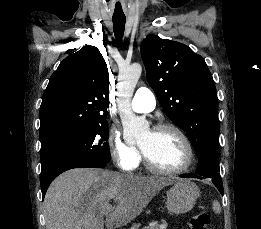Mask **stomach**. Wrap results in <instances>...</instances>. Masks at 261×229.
Returning a JSON list of instances; mask_svg holds the SVG:
<instances>
[{"mask_svg":"<svg viewBox=\"0 0 261 229\" xmlns=\"http://www.w3.org/2000/svg\"><path fill=\"white\" fill-rule=\"evenodd\" d=\"M200 191L191 181H172L170 191H167V209L169 213L181 215V213H188L193 209Z\"/></svg>","mask_w":261,"mask_h":229,"instance_id":"obj_1","label":"stomach"}]
</instances>
